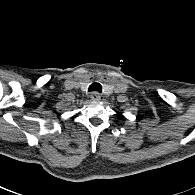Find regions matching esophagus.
Masks as SVG:
<instances>
[{"label":"esophagus","mask_w":195,"mask_h":195,"mask_svg":"<svg viewBox=\"0 0 195 195\" xmlns=\"http://www.w3.org/2000/svg\"><path fill=\"white\" fill-rule=\"evenodd\" d=\"M90 98L93 101H101L103 99V97L97 92H92L91 95H90Z\"/></svg>","instance_id":"34e87169"}]
</instances>
